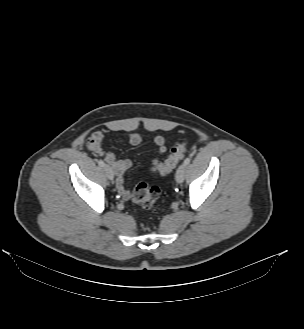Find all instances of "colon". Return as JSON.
Listing matches in <instances>:
<instances>
[{"label": "colon", "mask_w": 304, "mask_h": 329, "mask_svg": "<svg viewBox=\"0 0 304 329\" xmlns=\"http://www.w3.org/2000/svg\"><path fill=\"white\" fill-rule=\"evenodd\" d=\"M186 147V141L177 143L171 149V153L166 161L160 164H154L150 170L161 175L169 174L175 169V167L184 157ZM160 195L161 191L158 187L149 186L147 183L141 182L138 183L133 189L132 201L143 209H151L154 206L160 205L162 203L160 200Z\"/></svg>", "instance_id": "obj_1"}]
</instances>
